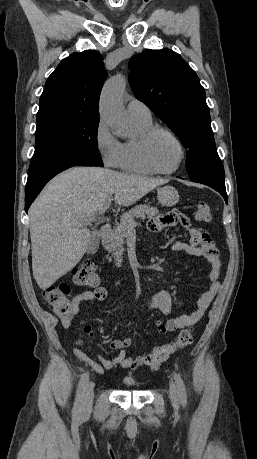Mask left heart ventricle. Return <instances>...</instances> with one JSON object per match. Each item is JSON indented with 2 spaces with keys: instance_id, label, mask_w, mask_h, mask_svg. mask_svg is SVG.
Instances as JSON below:
<instances>
[{
  "instance_id": "1",
  "label": "left heart ventricle",
  "mask_w": 257,
  "mask_h": 459,
  "mask_svg": "<svg viewBox=\"0 0 257 459\" xmlns=\"http://www.w3.org/2000/svg\"><path fill=\"white\" fill-rule=\"evenodd\" d=\"M151 156L160 169L171 170L179 161L180 150L170 136L159 133L151 143Z\"/></svg>"
}]
</instances>
